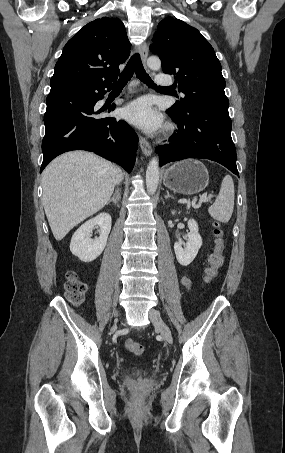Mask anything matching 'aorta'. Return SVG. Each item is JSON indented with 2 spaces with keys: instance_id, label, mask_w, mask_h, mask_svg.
I'll use <instances>...</instances> for the list:
<instances>
[{
  "instance_id": "1",
  "label": "aorta",
  "mask_w": 285,
  "mask_h": 453,
  "mask_svg": "<svg viewBox=\"0 0 285 453\" xmlns=\"http://www.w3.org/2000/svg\"><path fill=\"white\" fill-rule=\"evenodd\" d=\"M147 65L152 70H159L161 68V61L158 57H149ZM159 183V161L153 157L148 164L146 171V188L147 192L154 194L157 190Z\"/></svg>"
}]
</instances>
